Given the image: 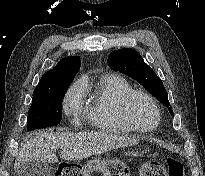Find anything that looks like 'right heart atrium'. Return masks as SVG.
Segmentation results:
<instances>
[{
    "mask_svg": "<svg viewBox=\"0 0 205 176\" xmlns=\"http://www.w3.org/2000/svg\"><path fill=\"white\" fill-rule=\"evenodd\" d=\"M63 110L73 122L84 114V88L81 81H77L68 89L63 100Z\"/></svg>",
    "mask_w": 205,
    "mask_h": 176,
    "instance_id": "d8ad5b80",
    "label": "right heart atrium"
}]
</instances>
